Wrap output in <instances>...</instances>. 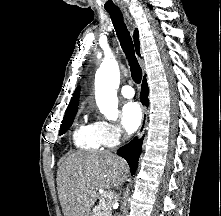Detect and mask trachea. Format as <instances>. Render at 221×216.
Here are the masks:
<instances>
[{
	"mask_svg": "<svg viewBox=\"0 0 221 216\" xmlns=\"http://www.w3.org/2000/svg\"><path fill=\"white\" fill-rule=\"evenodd\" d=\"M107 12L110 14L121 47L128 59L132 79L136 83H140L142 79V69L136 59L132 38L123 21L122 15L119 10H107Z\"/></svg>",
	"mask_w": 221,
	"mask_h": 216,
	"instance_id": "trachea-1",
	"label": "trachea"
}]
</instances>
